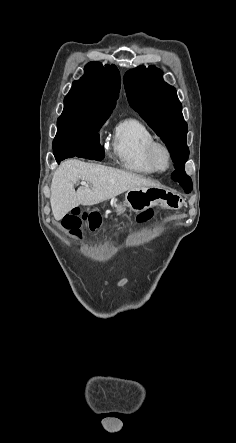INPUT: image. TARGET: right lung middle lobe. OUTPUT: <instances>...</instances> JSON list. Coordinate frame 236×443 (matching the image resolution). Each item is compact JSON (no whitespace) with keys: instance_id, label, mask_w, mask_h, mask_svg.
Listing matches in <instances>:
<instances>
[{"instance_id":"1","label":"right lung middle lobe","mask_w":236,"mask_h":443,"mask_svg":"<svg viewBox=\"0 0 236 443\" xmlns=\"http://www.w3.org/2000/svg\"><path fill=\"white\" fill-rule=\"evenodd\" d=\"M109 115L63 110L57 120V133L53 140L54 152L67 147L100 145L98 131Z\"/></svg>"}]
</instances>
